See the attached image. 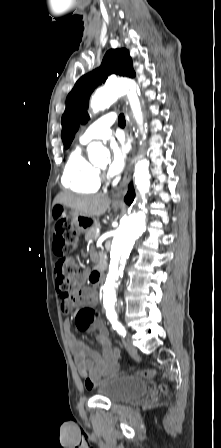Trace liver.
I'll list each match as a JSON object with an SVG mask.
<instances>
[{"label": "liver", "mask_w": 221, "mask_h": 448, "mask_svg": "<svg viewBox=\"0 0 221 448\" xmlns=\"http://www.w3.org/2000/svg\"><path fill=\"white\" fill-rule=\"evenodd\" d=\"M111 200L106 195L77 196L71 193H60L54 199V205L69 207L89 217L101 216L109 208Z\"/></svg>", "instance_id": "1"}]
</instances>
